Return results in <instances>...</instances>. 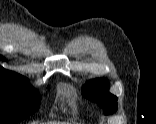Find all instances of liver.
I'll return each instance as SVG.
<instances>
[{"instance_id":"6515ba94","label":"liver","mask_w":156,"mask_h":124,"mask_svg":"<svg viewBox=\"0 0 156 124\" xmlns=\"http://www.w3.org/2000/svg\"><path fill=\"white\" fill-rule=\"evenodd\" d=\"M47 124H67L66 122L52 121Z\"/></svg>"}]
</instances>
